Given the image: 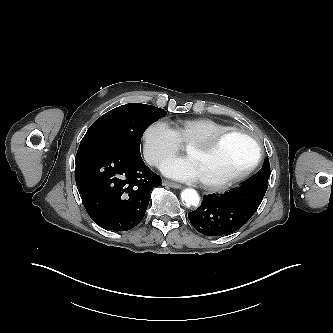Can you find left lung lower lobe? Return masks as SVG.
<instances>
[{
  "label": "left lung lower lobe",
  "mask_w": 333,
  "mask_h": 333,
  "mask_svg": "<svg viewBox=\"0 0 333 333\" xmlns=\"http://www.w3.org/2000/svg\"><path fill=\"white\" fill-rule=\"evenodd\" d=\"M267 184L241 185L225 194L205 195L200 207L188 214L192 226L205 236L228 235L256 212Z\"/></svg>",
  "instance_id": "obj_1"
}]
</instances>
